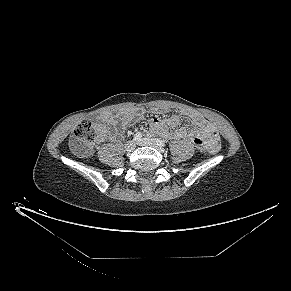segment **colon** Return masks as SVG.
Here are the masks:
<instances>
[{"mask_svg": "<svg viewBox=\"0 0 291 291\" xmlns=\"http://www.w3.org/2000/svg\"><path fill=\"white\" fill-rule=\"evenodd\" d=\"M110 136V128L107 124L97 121H82L76 127L74 131V138L72 145L75 149H78L79 144H82L87 150L92 149L97 144L106 141ZM220 150L219 141L216 140L214 143L207 147V151L215 155Z\"/></svg>", "mask_w": 291, "mask_h": 291, "instance_id": "obj_1", "label": "colon"}]
</instances>
